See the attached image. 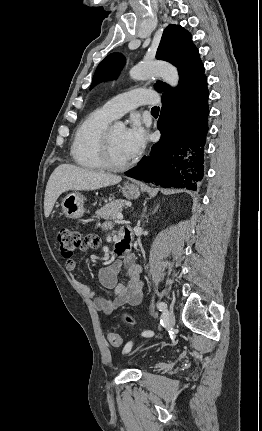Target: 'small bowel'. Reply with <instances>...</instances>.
<instances>
[{"mask_svg":"<svg viewBox=\"0 0 262 431\" xmlns=\"http://www.w3.org/2000/svg\"><path fill=\"white\" fill-rule=\"evenodd\" d=\"M121 235L130 236V230L123 228ZM99 246V245H98ZM97 246V247H98ZM97 247H92L95 249ZM65 267L68 271H74L76 262L74 259L66 260ZM125 269L126 282L120 280V272ZM99 281L101 284L113 291L112 299L100 297L87 284L76 282V286L89 298L94 301L97 310L106 315H110L121 306H136L141 301L142 282L140 280V267L136 262L135 255L129 253L122 259H117L99 271ZM142 336V335H141Z\"/></svg>","mask_w":262,"mask_h":431,"instance_id":"c3829d8e","label":"small bowel"}]
</instances>
